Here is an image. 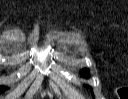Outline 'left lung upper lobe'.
I'll list each match as a JSON object with an SVG mask.
<instances>
[{
	"label": "left lung upper lobe",
	"instance_id": "obj_1",
	"mask_svg": "<svg viewBox=\"0 0 128 99\" xmlns=\"http://www.w3.org/2000/svg\"><path fill=\"white\" fill-rule=\"evenodd\" d=\"M88 73H89V70H87V69H83V70L80 71V74L83 75V76L88 75Z\"/></svg>",
	"mask_w": 128,
	"mask_h": 99
}]
</instances>
